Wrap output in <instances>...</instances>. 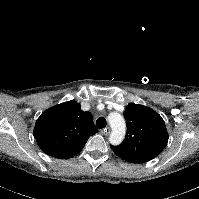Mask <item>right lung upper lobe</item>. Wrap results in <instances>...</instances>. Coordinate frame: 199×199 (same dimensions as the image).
Returning <instances> with one entry per match:
<instances>
[{
    "instance_id": "1",
    "label": "right lung upper lobe",
    "mask_w": 199,
    "mask_h": 199,
    "mask_svg": "<svg viewBox=\"0 0 199 199\" xmlns=\"http://www.w3.org/2000/svg\"><path fill=\"white\" fill-rule=\"evenodd\" d=\"M97 131L92 114L82 111L76 101H68L44 111L33 134L46 154L68 159L78 154Z\"/></svg>"
}]
</instances>
